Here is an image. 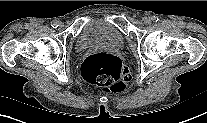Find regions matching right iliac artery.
<instances>
[{
    "instance_id": "82829eb1",
    "label": "right iliac artery",
    "mask_w": 207,
    "mask_h": 123,
    "mask_svg": "<svg viewBox=\"0 0 207 123\" xmlns=\"http://www.w3.org/2000/svg\"><path fill=\"white\" fill-rule=\"evenodd\" d=\"M51 26L53 28H57L59 26V22L57 20H54V21L51 22Z\"/></svg>"
}]
</instances>
